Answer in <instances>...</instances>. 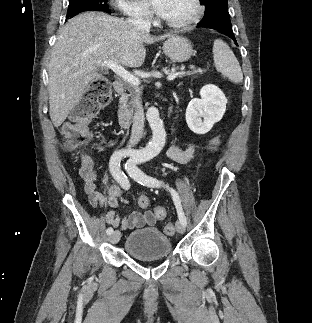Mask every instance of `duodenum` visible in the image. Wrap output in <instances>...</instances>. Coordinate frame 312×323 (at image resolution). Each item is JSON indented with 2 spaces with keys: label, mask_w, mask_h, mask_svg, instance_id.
Wrapping results in <instances>:
<instances>
[{
  "label": "duodenum",
  "mask_w": 312,
  "mask_h": 323,
  "mask_svg": "<svg viewBox=\"0 0 312 323\" xmlns=\"http://www.w3.org/2000/svg\"><path fill=\"white\" fill-rule=\"evenodd\" d=\"M113 89L117 95V117L119 123L123 127H128L131 124L132 116L127 108L126 83L122 78L116 79L113 82Z\"/></svg>",
  "instance_id": "obj_1"
}]
</instances>
